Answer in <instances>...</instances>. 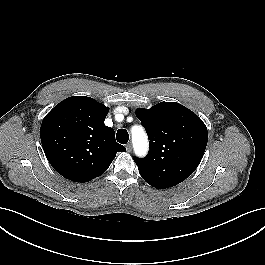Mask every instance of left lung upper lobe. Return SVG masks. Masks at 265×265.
I'll list each match as a JSON object with an SVG mask.
<instances>
[{
  "label": "left lung upper lobe",
  "mask_w": 265,
  "mask_h": 265,
  "mask_svg": "<svg viewBox=\"0 0 265 265\" xmlns=\"http://www.w3.org/2000/svg\"><path fill=\"white\" fill-rule=\"evenodd\" d=\"M136 115L150 140L148 155L134 156L142 178L158 189L176 186L188 178L198 167L207 145L203 121L176 102L139 108Z\"/></svg>",
  "instance_id": "left-lung-upper-lobe-1"
}]
</instances>
